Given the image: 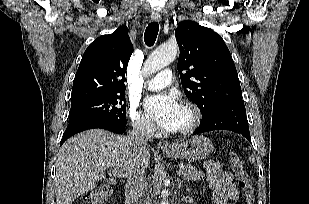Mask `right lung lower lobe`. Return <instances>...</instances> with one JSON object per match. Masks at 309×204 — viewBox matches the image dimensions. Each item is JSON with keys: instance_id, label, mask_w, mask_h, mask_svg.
<instances>
[{"instance_id": "98d812e1", "label": "right lung lower lobe", "mask_w": 309, "mask_h": 204, "mask_svg": "<svg viewBox=\"0 0 309 204\" xmlns=\"http://www.w3.org/2000/svg\"><path fill=\"white\" fill-rule=\"evenodd\" d=\"M93 128L106 129L117 134H122L125 132V126L123 125H118L102 119H95V118L83 119L70 123L67 126V129L64 133L60 145H62L69 137L73 136L74 134Z\"/></svg>"}]
</instances>
